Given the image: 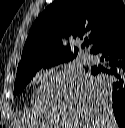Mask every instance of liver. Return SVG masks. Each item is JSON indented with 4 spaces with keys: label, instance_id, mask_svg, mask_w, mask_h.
Returning <instances> with one entry per match:
<instances>
[{
    "label": "liver",
    "instance_id": "liver-1",
    "mask_svg": "<svg viewBox=\"0 0 125 128\" xmlns=\"http://www.w3.org/2000/svg\"><path fill=\"white\" fill-rule=\"evenodd\" d=\"M32 110L19 124L28 128H116L110 91L87 73H67L42 84L32 96Z\"/></svg>",
    "mask_w": 125,
    "mask_h": 128
}]
</instances>
